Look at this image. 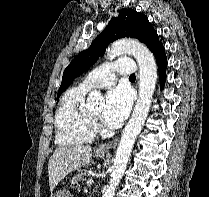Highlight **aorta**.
<instances>
[{"label": "aorta", "mask_w": 209, "mask_h": 197, "mask_svg": "<svg viewBox=\"0 0 209 197\" xmlns=\"http://www.w3.org/2000/svg\"><path fill=\"white\" fill-rule=\"evenodd\" d=\"M124 53L133 55L139 65V96L118 144L114 158L115 168L103 197L115 195L116 187L127 168L135 140L148 116L157 81L154 56L144 44L131 39L115 41L107 51V58H114ZM101 99L102 95L99 91H92L87 97V106H96Z\"/></svg>", "instance_id": "aorta-1"}]
</instances>
